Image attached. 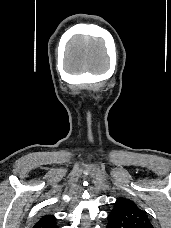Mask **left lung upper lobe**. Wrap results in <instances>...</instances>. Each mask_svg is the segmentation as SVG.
<instances>
[{
    "label": "left lung upper lobe",
    "mask_w": 171,
    "mask_h": 228,
    "mask_svg": "<svg viewBox=\"0 0 171 228\" xmlns=\"http://www.w3.org/2000/svg\"><path fill=\"white\" fill-rule=\"evenodd\" d=\"M108 221L113 228H128L143 226L153 228L148 215L140 209L132 200L120 197L114 204V208L108 216Z\"/></svg>",
    "instance_id": "left-lung-upper-lobe-1"
}]
</instances>
